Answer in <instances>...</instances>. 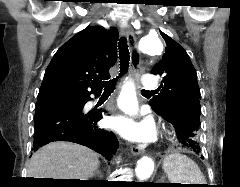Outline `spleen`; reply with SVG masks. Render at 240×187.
Masks as SVG:
<instances>
[{
  "label": "spleen",
  "instance_id": "spleen-1",
  "mask_svg": "<svg viewBox=\"0 0 240 187\" xmlns=\"http://www.w3.org/2000/svg\"><path fill=\"white\" fill-rule=\"evenodd\" d=\"M163 169L171 183L205 184L198 165L185 155L171 154L165 158Z\"/></svg>",
  "mask_w": 240,
  "mask_h": 187
}]
</instances>
